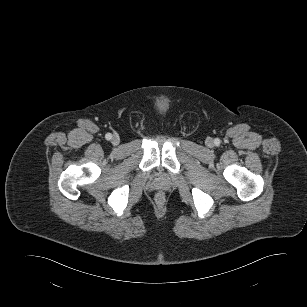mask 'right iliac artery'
<instances>
[{
  "instance_id": "right-iliac-artery-1",
  "label": "right iliac artery",
  "mask_w": 307,
  "mask_h": 307,
  "mask_svg": "<svg viewBox=\"0 0 307 307\" xmlns=\"http://www.w3.org/2000/svg\"><path fill=\"white\" fill-rule=\"evenodd\" d=\"M105 138H106L107 140H110V139L112 138V135H111L110 133H107V134L105 135Z\"/></svg>"
}]
</instances>
